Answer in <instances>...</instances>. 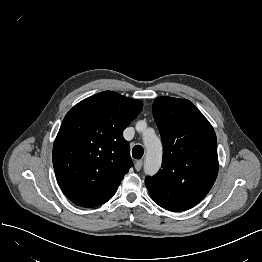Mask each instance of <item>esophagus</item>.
<instances>
[{"instance_id":"1","label":"esophagus","mask_w":262,"mask_h":262,"mask_svg":"<svg viewBox=\"0 0 262 262\" xmlns=\"http://www.w3.org/2000/svg\"><path fill=\"white\" fill-rule=\"evenodd\" d=\"M134 166H135V169L137 171H140L142 166H143V161L142 160H136Z\"/></svg>"}]
</instances>
